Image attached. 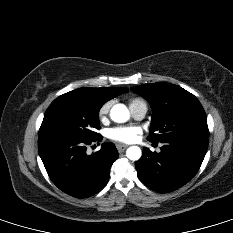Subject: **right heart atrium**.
<instances>
[{"instance_id":"d8ad5b80","label":"right heart atrium","mask_w":233,"mask_h":233,"mask_svg":"<svg viewBox=\"0 0 233 233\" xmlns=\"http://www.w3.org/2000/svg\"><path fill=\"white\" fill-rule=\"evenodd\" d=\"M112 106V102L111 101H107L105 102L104 104L101 105V107L99 108L98 110V116L100 118V120H105L109 111H110V108Z\"/></svg>"}]
</instances>
